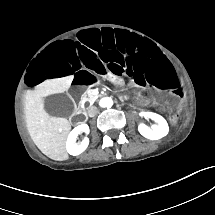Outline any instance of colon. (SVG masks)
<instances>
[{"label": "colon", "mask_w": 215, "mask_h": 215, "mask_svg": "<svg viewBox=\"0 0 215 215\" xmlns=\"http://www.w3.org/2000/svg\"><path fill=\"white\" fill-rule=\"evenodd\" d=\"M171 123H172L173 125H176V124H177V117H176V116H172V117H171Z\"/></svg>", "instance_id": "obj_1"}]
</instances>
